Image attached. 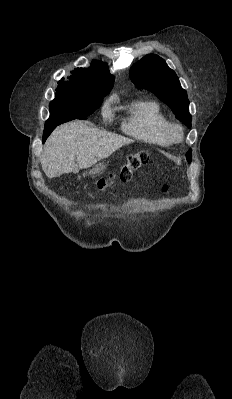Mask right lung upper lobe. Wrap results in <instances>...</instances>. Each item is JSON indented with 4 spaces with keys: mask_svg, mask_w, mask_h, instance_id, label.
Segmentation results:
<instances>
[{
    "mask_svg": "<svg viewBox=\"0 0 232 399\" xmlns=\"http://www.w3.org/2000/svg\"><path fill=\"white\" fill-rule=\"evenodd\" d=\"M67 81L58 82L57 92L74 94H108L113 86L114 76L109 67L101 61H93L89 68H78L71 71Z\"/></svg>",
    "mask_w": 232,
    "mask_h": 399,
    "instance_id": "cb5924a9",
    "label": "right lung upper lobe"
}]
</instances>
